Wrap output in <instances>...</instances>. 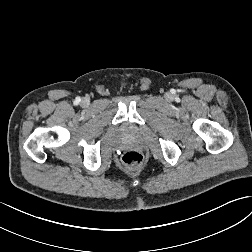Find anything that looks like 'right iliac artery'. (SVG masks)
I'll use <instances>...</instances> for the list:
<instances>
[{"mask_svg": "<svg viewBox=\"0 0 252 252\" xmlns=\"http://www.w3.org/2000/svg\"><path fill=\"white\" fill-rule=\"evenodd\" d=\"M80 101H81V99H80V98H77V99H76V102H77V103H79Z\"/></svg>", "mask_w": 252, "mask_h": 252, "instance_id": "obj_1", "label": "right iliac artery"}]
</instances>
